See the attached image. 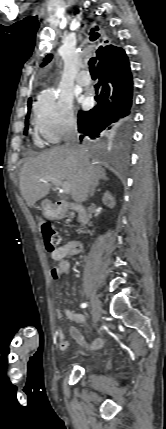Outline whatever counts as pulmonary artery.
Segmentation results:
<instances>
[{"instance_id":"e3ab8cb5","label":"pulmonary artery","mask_w":166,"mask_h":429,"mask_svg":"<svg viewBox=\"0 0 166 429\" xmlns=\"http://www.w3.org/2000/svg\"><path fill=\"white\" fill-rule=\"evenodd\" d=\"M84 68V66H83ZM84 74H87L86 71L81 72V74L77 77V82L80 86H87L90 83L89 77H84Z\"/></svg>"}]
</instances>
